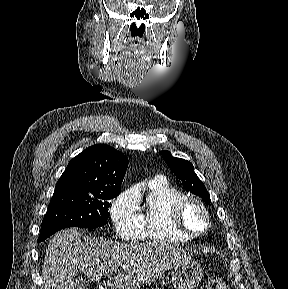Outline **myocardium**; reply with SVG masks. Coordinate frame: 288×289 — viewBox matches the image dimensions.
Instances as JSON below:
<instances>
[{"label": "myocardium", "mask_w": 288, "mask_h": 289, "mask_svg": "<svg viewBox=\"0 0 288 289\" xmlns=\"http://www.w3.org/2000/svg\"><path fill=\"white\" fill-rule=\"evenodd\" d=\"M189 204H194L197 207L201 209L203 212L205 219H206V227L202 231L199 232H191L186 228L182 221V212L186 206ZM169 217H170V222L174 229L182 233L183 235L187 236L188 238H197L199 236L204 235L207 233L210 228H211V220H210V214L205 206V204L199 200L198 198L191 197V196H185L177 201H175L169 209Z\"/></svg>", "instance_id": "obj_1"}]
</instances>
